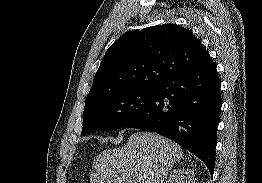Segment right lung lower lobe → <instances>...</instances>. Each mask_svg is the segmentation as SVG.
<instances>
[{
	"instance_id": "obj_1",
	"label": "right lung lower lobe",
	"mask_w": 262,
	"mask_h": 183,
	"mask_svg": "<svg viewBox=\"0 0 262 183\" xmlns=\"http://www.w3.org/2000/svg\"><path fill=\"white\" fill-rule=\"evenodd\" d=\"M216 64L172 77L156 88L151 104L128 126L163 135L199 157L213 175L222 106Z\"/></svg>"
}]
</instances>
